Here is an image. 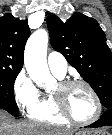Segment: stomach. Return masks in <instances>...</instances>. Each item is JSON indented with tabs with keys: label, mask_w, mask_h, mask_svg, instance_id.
<instances>
[{
	"label": "stomach",
	"mask_w": 112,
	"mask_h": 135,
	"mask_svg": "<svg viewBox=\"0 0 112 135\" xmlns=\"http://www.w3.org/2000/svg\"><path fill=\"white\" fill-rule=\"evenodd\" d=\"M76 135H101V134L98 132H92V131H82V132L76 133Z\"/></svg>",
	"instance_id": "obj_1"
}]
</instances>
